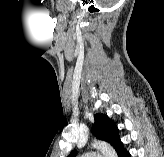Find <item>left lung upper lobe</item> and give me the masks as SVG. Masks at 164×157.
I'll return each instance as SVG.
<instances>
[{
	"instance_id": "1",
	"label": "left lung upper lobe",
	"mask_w": 164,
	"mask_h": 157,
	"mask_svg": "<svg viewBox=\"0 0 164 157\" xmlns=\"http://www.w3.org/2000/svg\"><path fill=\"white\" fill-rule=\"evenodd\" d=\"M95 123L92 133L101 140L107 141L113 147L120 141L119 130L115 123L104 114L94 116ZM77 151H72L67 157H76Z\"/></svg>"
}]
</instances>
